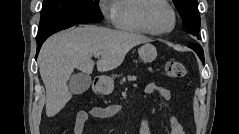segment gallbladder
Returning <instances> with one entry per match:
<instances>
[{
	"mask_svg": "<svg viewBox=\"0 0 239 134\" xmlns=\"http://www.w3.org/2000/svg\"><path fill=\"white\" fill-rule=\"evenodd\" d=\"M91 85V77L84 73H78L71 77L69 89L74 94H82Z\"/></svg>",
	"mask_w": 239,
	"mask_h": 134,
	"instance_id": "bac80fb5",
	"label": "gallbladder"
}]
</instances>
